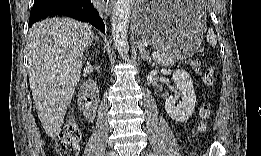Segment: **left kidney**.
Segmentation results:
<instances>
[{"label":"left kidney","mask_w":261,"mask_h":156,"mask_svg":"<svg viewBox=\"0 0 261 156\" xmlns=\"http://www.w3.org/2000/svg\"><path fill=\"white\" fill-rule=\"evenodd\" d=\"M172 79L177 86L178 94L166 99L165 110L174 121L185 122L194 112L196 104L192 78L187 71L178 69L173 72ZM180 97L182 102L176 105L175 100Z\"/></svg>","instance_id":"left-kidney-1"}]
</instances>
